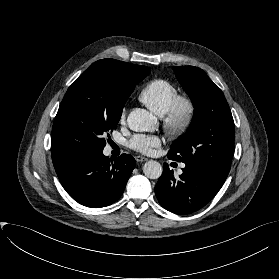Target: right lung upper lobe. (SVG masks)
Wrapping results in <instances>:
<instances>
[{
	"label": "right lung upper lobe",
	"mask_w": 279,
	"mask_h": 279,
	"mask_svg": "<svg viewBox=\"0 0 279 279\" xmlns=\"http://www.w3.org/2000/svg\"><path fill=\"white\" fill-rule=\"evenodd\" d=\"M102 71L109 79L122 87L138 84L150 72L146 66L130 64L115 59H102L93 63L86 71Z\"/></svg>",
	"instance_id": "right-lung-upper-lobe-1"
}]
</instances>
